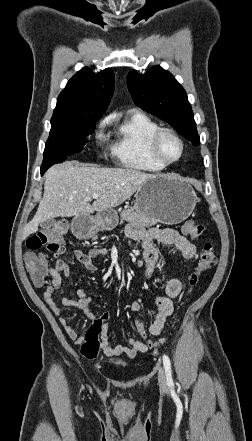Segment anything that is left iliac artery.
<instances>
[{
	"instance_id": "left-iliac-artery-1",
	"label": "left iliac artery",
	"mask_w": 252,
	"mask_h": 441,
	"mask_svg": "<svg viewBox=\"0 0 252 441\" xmlns=\"http://www.w3.org/2000/svg\"><path fill=\"white\" fill-rule=\"evenodd\" d=\"M163 364L166 371L167 383L168 385L173 384L172 373H171V362L167 355H163Z\"/></svg>"
}]
</instances>
